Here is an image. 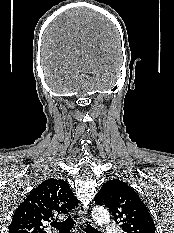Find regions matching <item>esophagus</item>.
<instances>
[{
	"instance_id": "34e87169",
	"label": "esophagus",
	"mask_w": 174,
	"mask_h": 233,
	"mask_svg": "<svg viewBox=\"0 0 174 233\" xmlns=\"http://www.w3.org/2000/svg\"><path fill=\"white\" fill-rule=\"evenodd\" d=\"M79 213L81 215L82 218V222L84 223H88L91 226H93V222L85 215V213L82 211V209L80 208Z\"/></svg>"
}]
</instances>
